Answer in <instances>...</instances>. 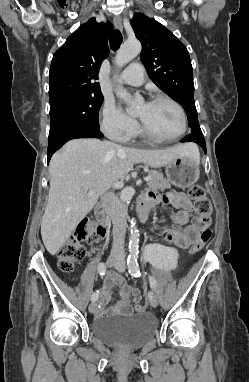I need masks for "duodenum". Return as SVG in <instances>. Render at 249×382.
Instances as JSON below:
<instances>
[{
  "mask_svg": "<svg viewBox=\"0 0 249 382\" xmlns=\"http://www.w3.org/2000/svg\"><path fill=\"white\" fill-rule=\"evenodd\" d=\"M150 209V204L145 199L141 200L137 205V212L139 218L142 222H146L148 219V213ZM95 217L98 219L102 227L104 228L106 225V217L105 213L100 205L95 208Z\"/></svg>",
  "mask_w": 249,
  "mask_h": 382,
  "instance_id": "410a0bca",
  "label": "duodenum"
}]
</instances>
